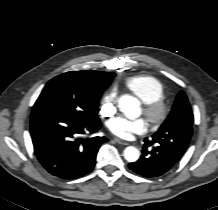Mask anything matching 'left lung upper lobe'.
Instances as JSON below:
<instances>
[{"label": "left lung upper lobe", "mask_w": 218, "mask_h": 210, "mask_svg": "<svg viewBox=\"0 0 218 210\" xmlns=\"http://www.w3.org/2000/svg\"><path fill=\"white\" fill-rule=\"evenodd\" d=\"M193 113L184 91L174 102L172 110L159 130L152 135L153 142L162 144L164 150L186 151L193 132Z\"/></svg>", "instance_id": "1"}]
</instances>
